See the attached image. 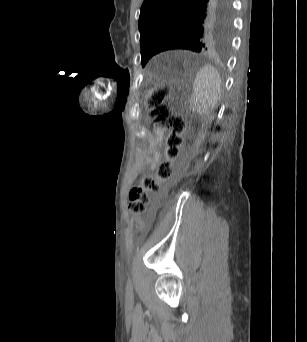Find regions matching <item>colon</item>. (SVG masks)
<instances>
[{"mask_svg": "<svg viewBox=\"0 0 307 342\" xmlns=\"http://www.w3.org/2000/svg\"><path fill=\"white\" fill-rule=\"evenodd\" d=\"M169 87H150L149 109L155 126L167 131L165 158L161 160L154 174L141 177L133 185L129 194V210L137 218L146 213L151 202V194L159 191V184L171 179L175 174L174 161L179 157L183 143L185 123L167 104ZM144 223L136 221V229L141 231Z\"/></svg>", "mask_w": 307, "mask_h": 342, "instance_id": "obj_1", "label": "colon"}]
</instances>
